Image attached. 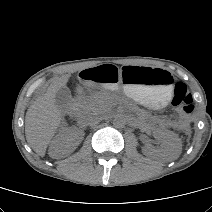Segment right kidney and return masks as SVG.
Listing matches in <instances>:
<instances>
[{
	"label": "right kidney",
	"instance_id": "ca27d5eb",
	"mask_svg": "<svg viewBox=\"0 0 212 212\" xmlns=\"http://www.w3.org/2000/svg\"><path fill=\"white\" fill-rule=\"evenodd\" d=\"M84 138V133L75 128H63L51 141L49 155L53 159H60L70 155Z\"/></svg>",
	"mask_w": 212,
	"mask_h": 212
}]
</instances>
